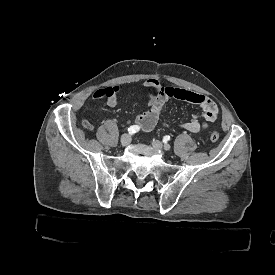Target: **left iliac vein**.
<instances>
[{
    "label": "left iliac vein",
    "mask_w": 275,
    "mask_h": 275,
    "mask_svg": "<svg viewBox=\"0 0 275 275\" xmlns=\"http://www.w3.org/2000/svg\"><path fill=\"white\" fill-rule=\"evenodd\" d=\"M152 146L156 149H159V150H170V145L169 144H162L159 140H153L152 141Z\"/></svg>",
    "instance_id": "4c4485c4"
}]
</instances>
